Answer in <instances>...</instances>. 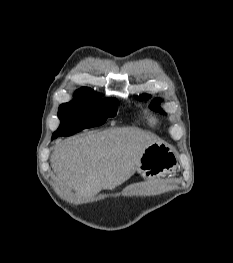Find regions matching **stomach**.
Here are the masks:
<instances>
[{
  "mask_svg": "<svg viewBox=\"0 0 233 263\" xmlns=\"http://www.w3.org/2000/svg\"><path fill=\"white\" fill-rule=\"evenodd\" d=\"M177 166L175 150L166 143L154 142L145 148L137 172L145 179H152L171 174Z\"/></svg>",
  "mask_w": 233,
  "mask_h": 263,
  "instance_id": "1",
  "label": "stomach"
}]
</instances>
